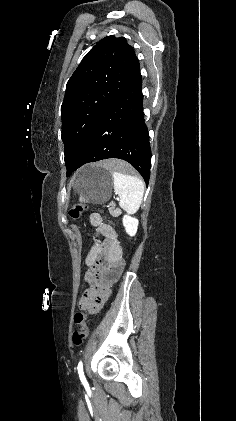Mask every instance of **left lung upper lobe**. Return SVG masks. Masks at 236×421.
Returning <instances> with one entry per match:
<instances>
[{"label": "left lung upper lobe", "mask_w": 236, "mask_h": 421, "mask_svg": "<svg viewBox=\"0 0 236 421\" xmlns=\"http://www.w3.org/2000/svg\"><path fill=\"white\" fill-rule=\"evenodd\" d=\"M138 59L124 38L107 36L83 58L61 106L65 164L74 165L99 119L123 90Z\"/></svg>", "instance_id": "1"}]
</instances>
